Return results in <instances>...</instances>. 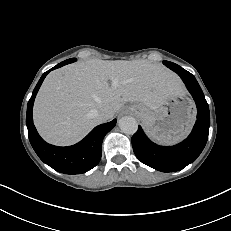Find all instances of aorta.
Returning <instances> with one entry per match:
<instances>
[{"mask_svg":"<svg viewBox=\"0 0 231 231\" xmlns=\"http://www.w3.org/2000/svg\"><path fill=\"white\" fill-rule=\"evenodd\" d=\"M118 125L121 131L125 134L132 135L138 130L137 121L131 116H124L119 119Z\"/></svg>","mask_w":231,"mask_h":231,"instance_id":"aorta-1","label":"aorta"}]
</instances>
